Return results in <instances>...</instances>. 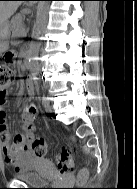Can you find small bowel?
Returning a JSON list of instances; mask_svg holds the SVG:
<instances>
[{
	"label": "small bowel",
	"instance_id": "small-bowel-1",
	"mask_svg": "<svg viewBox=\"0 0 137 189\" xmlns=\"http://www.w3.org/2000/svg\"><path fill=\"white\" fill-rule=\"evenodd\" d=\"M26 89L29 95H33L34 82L29 81L26 84ZM5 103L6 96L0 97V144L6 164L13 167L16 172H20L35 159L27 147V139L35 131L34 115L27 114L25 109L23 114L25 133L11 138L6 122Z\"/></svg>",
	"mask_w": 137,
	"mask_h": 189
}]
</instances>
